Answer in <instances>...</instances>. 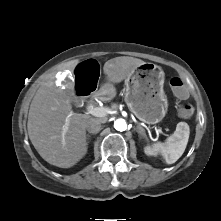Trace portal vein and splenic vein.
<instances>
[{"mask_svg": "<svg viewBox=\"0 0 221 221\" xmlns=\"http://www.w3.org/2000/svg\"><path fill=\"white\" fill-rule=\"evenodd\" d=\"M87 112L95 117H105L107 114H109L110 110L108 108H102V107H95L93 105L87 106ZM69 126V120L66 119V123L63 126V131L66 132L68 130ZM160 133H162L161 129H157Z\"/></svg>", "mask_w": 221, "mask_h": 221, "instance_id": "1", "label": "portal vein and splenic vein"}]
</instances>
